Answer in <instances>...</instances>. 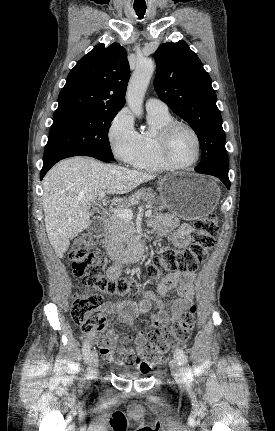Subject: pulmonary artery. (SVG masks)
Listing matches in <instances>:
<instances>
[{
    "label": "pulmonary artery",
    "instance_id": "obj_1",
    "mask_svg": "<svg viewBox=\"0 0 275 431\" xmlns=\"http://www.w3.org/2000/svg\"><path fill=\"white\" fill-rule=\"evenodd\" d=\"M146 109L148 112H168V106L158 98H149L146 102Z\"/></svg>",
    "mask_w": 275,
    "mask_h": 431
}]
</instances>
